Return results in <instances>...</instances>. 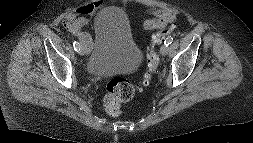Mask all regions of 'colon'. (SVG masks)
I'll return each mask as SVG.
<instances>
[{
	"instance_id": "obj_1",
	"label": "colon",
	"mask_w": 253,
	"mask_h": 143,
	"mask_svg": "<svg viewBox=\"0 0 253 143\" xmlns=\"http://www.w3.org/2000/svg\"><path fill=\"white\" fill-rule=\"evenodd\" d=\"M156 26V22L151 21L148 27L153 28ZM174 27L161 29L156 32L151 39V49L149 50L148 68L143 75L141 81V87L149 85L153 74L156 71L158 65V56L155 51V46L163 42V40L173 33ZM135 94V86L126 78L118 77L112 79L107 86V93L104 99V107L107 113L113 117H117L121 114V104L131 100Z\"/></svg>"
}]
</instances>
